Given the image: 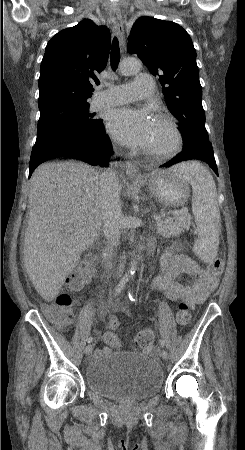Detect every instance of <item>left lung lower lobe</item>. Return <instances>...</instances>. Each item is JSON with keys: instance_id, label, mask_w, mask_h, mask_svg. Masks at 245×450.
Masks as SVG:
<instances>
[{"instance_id": "0a47b994", "label": "left lung lower lobe", "mask_w": 245, "mask_h": 450, "mask_svg": "<svg viewBox=\"0 0 245 450\" xmlns=\"http://www.w3.org/2000/svg\"><path fill=\"white\" fill-rule=\"evenodd\" d=\"M188 159H198L207 162L214 172L218 175L216 161L211 147L201 148L193 152H184L177 154L174 158L161 165L160 167H170L171 165Z\"/></svg>"}]
</instances>
